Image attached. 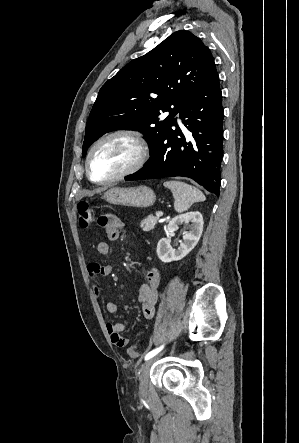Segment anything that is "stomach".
Masks as SVG:
<instances>
[{
  "instance_id": "obj_1",
  "label": "stomach",
  "mask_w": 299,
  "mask_h": 443,
  "mask_svg": "<svg viewBox=\"0 0 299 443\" xmlns=\"http://www.w3.org/2000/svg\"><path fill=\"white\" fill-rule=\"evenodd\" d=\"M104 199L113 205L149 207L155 202V194L147 186L132 188L113 187L104 194Z\"/></svg>"
}]
</instances>
